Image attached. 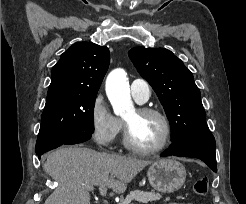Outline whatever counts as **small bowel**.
<instances>
[{"mask_svg":"<svg viewBox=\"0 0 246 204\" xmlns=\"http://www.w3.org/2000/svg\"><path fill=\"white\" fill-rule=\"evenodd\" d=\"M169 204H190V203H169Z\"/></svg>","mask_w":246,"mask_h":204,"instance_id":"obj_1","label":"small bowel"}]
</instances>
